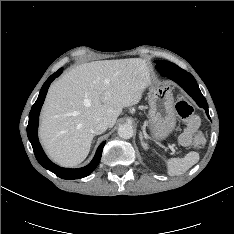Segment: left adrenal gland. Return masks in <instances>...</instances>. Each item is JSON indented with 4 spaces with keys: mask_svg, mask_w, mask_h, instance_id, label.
Listing matches in <instances>:
<instances>
[{
    "mask_svg": "<svg viewBox=\"0 0 234 234\" xmlns=\"http://www.w3.org/2000/svg\"><path fill=\"white\" fill-rule=\"evenodd\" d=\"M139 138H140L142 147H143L145 150L148 149L147 143H145V142L143 141V135H142L141 132H140V134H139Z\"/></svg>",
    "mask_w": 234,
    "mask_h": 234,
    "instance_id": "obj_1",
    "label": "left adrenal gland"
}]
</instances>
